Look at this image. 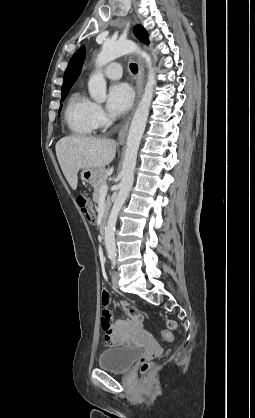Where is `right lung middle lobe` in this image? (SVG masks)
<instances>
[{
	"label": "right lung middle lobe",
	"mask_w": 255,
	"mask_h": 418,
	"mask_svg": "<svg viewBox=\"0 0 255 418\" xmlns=\"http://www.w3.org/2000/svg\"><path fill=\"white\" fill-rule=\"evenodd\" d=\"M68 91H69V89H67V90H65V91H62V97H61V100H62V101L65 99V97H66V95H67ZM61 107H62V105H60V108H61ZM59 112H60V110H59Z\"/></svg>",
	"instance_id": "obj_1"
}]
</instances>
